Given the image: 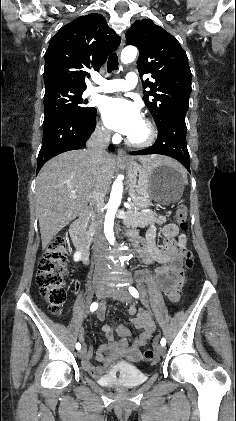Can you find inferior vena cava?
<instances>
[{
	"label": "inferior vena cava",
	"instance_id": "602c4592",
	"mask_svg": "<svg viewBox=\"0 0 236 421\" xmlns=\"http://www.w3.org/2000/svg\"><path fill=\"white\" fill-rule=\"evenodd\" d=\"M111 136V130H107L104 126H96L93 134H91L89 140L86 142V152L90 156L91 164H99L102 160L103 154H106V148L109 146V140ZM104 192L97 186L93 190V198L95 206L93 208V225L95 229L94 233V263L95 267L99 271H105L108 273V263L107 259L98 253V251H104L106 249V241L102 231V221L103 213L101 211L102 206H104Z\"/></svg>",
	"mask_w": 236,
	"mask_h": 421
}]
</instances>
